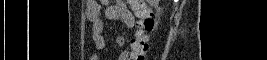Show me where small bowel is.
Wrapping results in <instances>:
<instances>
[{
    "instance_id": "small-bowel-1",
    "label": "small bowel",
    "mask_w": 267,
    "mask_h": 60,
    "mask_svg": "<svg viewBox=\"0 0 267 60\" xmlns=\"http://www.w3.org/2000/svg\"><path fill=\"white\" fill-rule=\"evenodd\" d=\"M102 6H105V16L108 20L122 21L126 26L133 27L135 19L132 12L123 1H116L110 4L108 1H95L90 0L87 2L86 15L91 22L90 33L94 45L97 50L101 51L105 48L106 42L104 37L105 27L101 19ZM134 38V37H133ZM116 44L118 47L125 45L124 36H117ZM133 44V39L131 47ZM91 60H99L100 57L97 54H93ZM119 60H131V51H122L118 57Z\"/></svg>"
}]
</instances>
